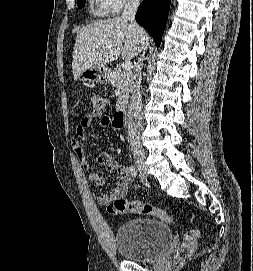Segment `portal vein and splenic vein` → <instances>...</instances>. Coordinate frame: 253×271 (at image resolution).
<instances>
[{
  "mask_svg": "<svg viewBox=\"0 0 253 271\" xmlns=\"http://www.w3.org/2000/svg\"><path fill=\"white\" fill-rule=\"evenodd\" d=\"M122 68L124 71H130L133 68V64L131 61H125L122 63Z\"/></svg>",
  "mask_w": 253,
  "mask_h": 271,
  "instance_id": "obj_1",
  "label": "portal vein and splenic vein"
}]
</instances>
